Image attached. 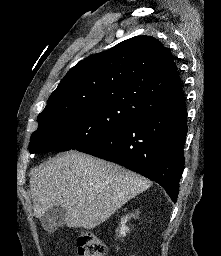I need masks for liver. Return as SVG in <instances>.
Here are the masks:
<instances>
[{
    "instance_id": "1",
    "label": "liver",
    "mask_w": 221,
    "mask_h": 256,
    "mask_svg": "<svg viewBox=\"0 0 221 256\" xmlns=\"http://www.w3.org/2000/svg\"><path fill=\"white\" fill-rule=\"evenodd\" d=\"M152 182L115 163L78 151L59 154L30 178L34 215L53 206L66 210L64 224L94 229Z\"/></svg>"
}]
</instances>
